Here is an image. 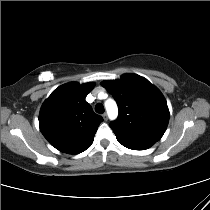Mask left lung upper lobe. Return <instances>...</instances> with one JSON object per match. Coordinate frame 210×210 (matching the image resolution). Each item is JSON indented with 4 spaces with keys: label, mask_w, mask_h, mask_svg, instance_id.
<instances>
[{
    "label": "left lung upper lobe",
    "mask_w": 210,
    "mask_h": 210,
    "mask_svg": "<svg viewBox=\"0 0 210 210\" xmlns=\"http://www.w3.org/2000/svg\"><path fill=\"white\" fill-rule=\"evenodd\" d=\"M101 85L114 97L119 116L110 127L117 140L133 150L151 147L163 136L169 121L167 102L147 79L125 74Z\"/></svg>",
    "instance_id": "left-lung-upper-lobe-1"
}]
</instances>
